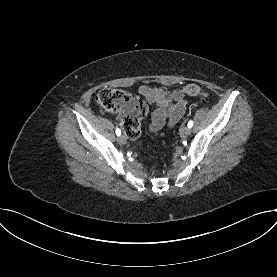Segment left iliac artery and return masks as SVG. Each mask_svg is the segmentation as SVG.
<instances>
[{
    "instance_id": "1",
    "label": "left iliac artery",
    "mask_w": 277,
    "mask_h": 277,
    "mask_svg": "<svg viewBox=\"0 0 277 277\" xmlns=\"http://www.w3.org/2000/svg\"><path fill=\"white\" fill-rule=\"evenodd\" d=\"M193 126V121L188 122V127L191 128Z\"/></svg>"
}]
</instances>
